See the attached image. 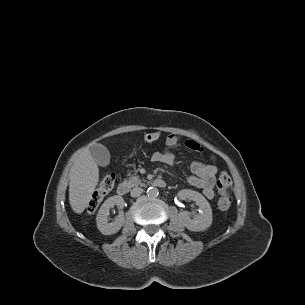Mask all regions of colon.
Segmentation results:
<instances>
[{
	"label": "colon",
	"mask_w": 305,
	"mask_h": 305,
	"mask_svg": "<svg viewBox=\"0 0 305 305\" xmlns=\"http://www.w3.org/2000/svg\"><path fill=\"white\" fill-rule=\"evenodd\" d=\"M160 137V132L147 133L144 136V141L146 143H153ZM186 146L191 149H196L197 145L193 141H187ZM116 176L114 173H109L105 175L100 182L99 187L92 194L88 205L87 212L89 214L94 213L100 206L103 199L112 190L115 185ZM217 190H218V200L217 204L221 210H227L232 204V198L230 196V189L232 186L231 177L227 173H222L217 180Z\"/></svg>",
	"instance_id": "5ec220e1"
}]
</instances>
